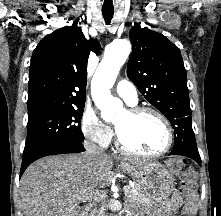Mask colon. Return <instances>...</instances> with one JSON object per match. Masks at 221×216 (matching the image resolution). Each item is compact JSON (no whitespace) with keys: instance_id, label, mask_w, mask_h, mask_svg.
<instances>
[{"instance_id":"1","label":"colon","mask_w":221,"mask_h":216,"mask_svg":"<svg viewBox=\"0 0 221 216\" xmlns=\"http://www.w3.org/2000/svg\"><path fill=\"white\" fill-rule=\"evenodd\" d=\"M186 163L184 159L176 158L170 162V167L182 178L180 191L187 199H193L196 191V184L193 177H189L184 171Z\"/></svg>"}]
</instances>
